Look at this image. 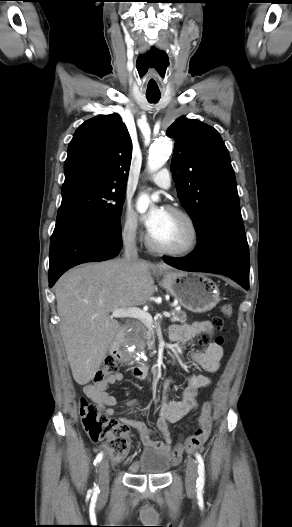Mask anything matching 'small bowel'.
Instances as JSON below:
<instances>
[{
    "mask_svg": "<svg viewBox=\"0 0 292 527\" xmlns=\"http://www.w3.org/2000/svg\"><path fill=\"white\" fill-rule=\"evenodd\" d=\"M213 326L208 321H196L191 324L173 325L170 329V338L175 342H188L193 340L196 336L203 332H211ZM223 356V349L219 344L211 343L205 346L202 350L192 353L190 359L195 364L199 365L208 373L216 372L220 367L221 358ZM122 373L117 372L108 377L105 381L96 384L86 385L84 388L85 394L103 410L106 416L114 414L113 406L116 404V398L108 392V387L121 381ZM171 383V380L166 381V386ZM211 380L204 374H192L187 377V385L182 391L179 400H169L164 398L160 405L159 418L157 420V428L161 432L164 440L158 441L152 438L153 430L139 420H130L122 418L129 426L135 429L141 443L155 450L165 454L171 464H176L186 449L193 451L199 448L207 440L212 420H211V403L203 404L198 414V428L194 435L185 440H180L175 446L172 445L170 433L168 430V423H175L182 419L187 414L194 412L197 409L196 397L198 390L206 388L210 385ZM135 401H130L129 404H134Z\"/></svg>",
    "mask_w": 292,
    "mask_h": 527,
    "instance_id": "c3829d8e",
    "label": "small bowel"
}]
</instances>
